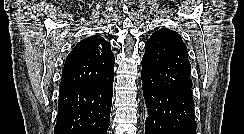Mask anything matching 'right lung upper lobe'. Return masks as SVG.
I'll return each instance as SVG.
<instances>
[{
    "instance_id": "1",
    "label": "right lung upper lobe",
    "mask_w": 244,
    "mask_h": 134,
    "mask_svg": "<svg viewBox=\"0 0 244 134\" xmlns=\"http://www.w3.org/2000/svg\"><path fill=\"white\" fill-rule=\"evenodd\" d=\"M114 62L111 45L101 36L80 41L66 58L59 91L106 80L114 74Z\"/></svg>"
}]
</instances>
